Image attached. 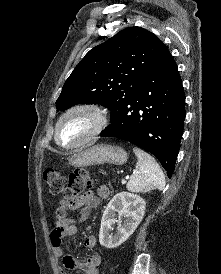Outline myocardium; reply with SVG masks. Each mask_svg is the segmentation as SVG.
<instances>
[{"label": "myocardium", "instance_id": "myocardium-1", "mask_svg": "<svg viewBox=\"0 0 221 274\" xmlns=\"http://www.w3.org/2000/svg\"><path fill=\"white\" fill-rule=\"evenodd\" d=\"M76 113H85L89 115L93 120V126L91 130L79 141L72 144L62 143L59 138L60 127L65 119ZM108 121V113L104 107L96 103H79L69 107L59 117L55 125L54 139L56 143L63 148H78L96 138L106 128Z\"/></svg>", "mask_w": 221, "mask_h": 274}]
</instances>
